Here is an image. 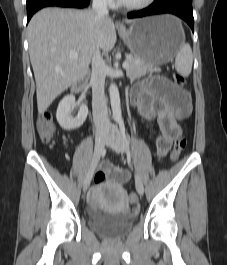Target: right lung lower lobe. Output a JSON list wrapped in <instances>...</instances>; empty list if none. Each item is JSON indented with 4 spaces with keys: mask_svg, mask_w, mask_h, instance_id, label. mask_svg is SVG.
Wrapping results in <instances>:
<instances>
[{
    "mask_svg": "<svg viewBox=\"0 0 227 265\" xmlns=\"http://www.w3.org/2000/svg\"><path fill=\"white\" fill-rule=\"evenodd\" d=\"M90 0H27V21L35 12L44 7L59 6V7H74L84 8L88 6Z\"/></svg>",
    "mask_w": 227,
    "mask_h": 265,
    "instance_id": "obj_1",
    "label": "right lung lower lobe"
}]
</instances>
